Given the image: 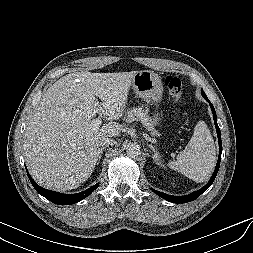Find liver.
Returning a JSON list of instances; mask_svg holds the SVG:
<instances>
[{
	"instance_id": "obj_1",
	"label": "liver",
	"mask_w": 253,
	"mask_h": 253,
	"mask_svg": "<svg viewBox=\"0 0 253 253\" xmlns=\"http://www.w3.org/2000/svg\"><path fill=\"white\" fill-rule=\"evenodd\" d=\"M137 72L70 73L44 92L23 144L27 167L39 184L66 191L90 177L100 155L101 138L119 136L123 129L116 122L94 129L91 119L99 115L112 121L123 115Z\"/></svg>"
}]
</instances>
